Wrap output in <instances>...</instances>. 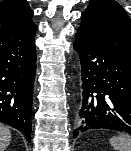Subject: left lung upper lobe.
Wrapping results in <instances>:
<instances>
[{
  "mask_svg": "<svg viewBox=\"0 0 131 151\" xmlns=\"http://www.w3.org/2000/svg\"><path fill=\"white\" fill-rule=\"evenodd\" d=\"M77 30L93 43L131 58V20L115 0H90Z\"/></svg>",
  "mask_w": 131,
  "mask_h": 151,
  "instance_id": "5c2ea615",
  "label": "left lung upper lobe"
}]
</instances>
